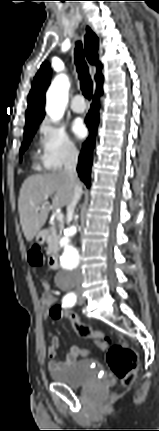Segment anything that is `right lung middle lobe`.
<instances>
[{"label": "right lung middle lobe", "instance_id": "dd1d6c3e", "mask_svg": "<svg viewBox=\"0 0 159 431\" xmlns=\"http://www.w3.org/2000/svg\"><path fill=\"white\" fill-rule=\"evenodd\" d=\"M37 126L38 125H35V126H32L30 128L25 129V132H24V141H23L21 149H20L21 153H23L27 149V147H28V145L30 143V140L32 139L34 133L36 132Z\"/></svg>", "mask_w": 159, "mask_h": 431}]
</instances>
